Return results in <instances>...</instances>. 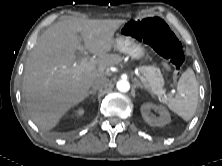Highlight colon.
I'll use <instances>...</instances> for the list:
<instances>
[{"label":"colon","mask_w":222,"mask_h":166,"mask_svg":"<svg viewBox=\"0 0 222 166\" xmlns=\"http://www.w3.org/2000/svg\"><path fill=\"white\" fill-rule=\"evenodd\" d=\"M122 33L143 43L149 44L168 61V67L175 75L179 74L185 56L181 44L168 24L159 17H144L127 23Z\"/></svg>","instance_id":"5ec220e1"}]
</instances>
